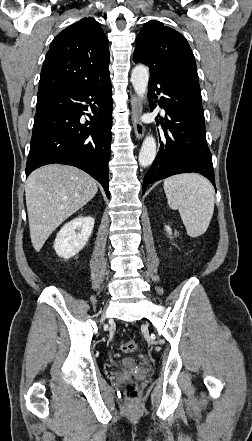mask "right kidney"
Masks as SVG:
<instances>
[{"mask_svg":"<svg viewBox=\"0 0 252 441\" xmlns=\"http://www.w3.org/2000/svg\"><path fill=\"white\" fill-rule=\"evenodd\" d=\"M94 227V218L79 216L66 223L54 241V249L59 257L69 259L79 253L87 244ZM76 230L79 232L77 233Z\"/></svg>","mask_w":252,"mask_h":441,"instance_id":"1","label":"right kidney"}]
</instances>
